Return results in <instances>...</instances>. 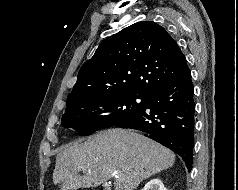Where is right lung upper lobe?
<instances>
[{"instance_id": "right-lung-upper-lobe-1", "label": "right lung upper lobe", "mask_w": 238, "mask_h": 190, "mask_svg": "<svg viewBox=\"0 0 238 190\" xmlns=\"http://www.w3.org/2000/svg\"><path fill=\"white\" fill-rule=\"evenodd\" d=\"M187 67L185 56L163 27L152 21L132 24L105 39L82 65L66 109L87 95L149 97Z\"/></svg>"}]
</instances>
